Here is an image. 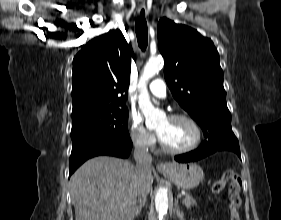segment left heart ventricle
<instances>
[{"label":"left heart ventricle","mask_w":281,"mask_h":220,"mask_svg":"<svg viewBox=\"0 0 281 220\" xmlns=\"http://www.w3.org/2000/svg\"><path fill=\"white\" fill-rule=\"evenodd\" d=\"M157 133L168 147L174 149L188 147L195 140L194 128L184 120L165 119L157 127Z\"/></svg>","instance_id":"left-heart-ventricle-1"}]
</instances>
